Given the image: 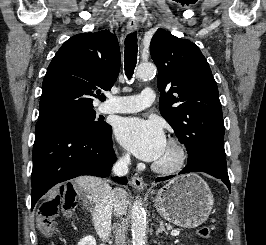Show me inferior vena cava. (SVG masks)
<instances>
[{
    "mask_svg": "<svg viewBox=\"0 0 266 245\" xmlns=\"http://www.w3.org/2000/svg\"><path fill=\"white\" fill-rule=\"evenodd\" d=\"M131 159L129 155L121 157L112 167L113 175L116 177H125L129 171ZM115 193L109 185L103 187L101 191H97L93 199L92 219L94 229L100 239H109L111 235V215L113 211V197Z\"/></svg>",
    "mask_w": 266,
    "mask_h": 245,
    "instance_id": "1",
    "label": "inferior vena cava"
}]
</instances>
